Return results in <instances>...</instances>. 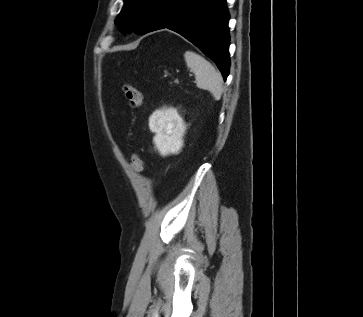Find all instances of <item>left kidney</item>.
I'll list each match as a JSON object with an SVG mask.
<instances>
[{
	"instance_id": "1",
	"label": "left kidney",
	"mask_w": 363,
	"mask_h": 317,
	"mask_svg": "<svg viewBox=\"0 0 363 317\" xmlns=\"http://www.w3.org/2000/svg\"><path fill=\"white\" fill-rule=\"evenodd\" d=\"M149 126L156 133L154 143L162 155L180 152L186 126L175 109L166 108L154 112L149 119Z\"/></svg>"
}]
</instances>
